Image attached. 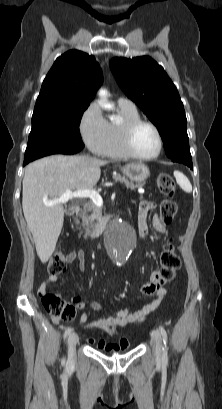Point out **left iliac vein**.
Returning <instances> with one entry per match:
<instances>
[{"label":"left iliac vein","mask_w":222,"mask_h":409,"mask_svg":"<svg viewBox=\"0 0 222 409\" xmlns=\"http://www.w3.org/2000/svg\"><path fill=\"white\" fill-rule=\"evenodd\" d=\"M151 339L154 343V355L156 359H160L162 355V338L157 330L151 332Z\"/></svg>","instance_id":"left-iliac-vein-1"}]
</instances>
